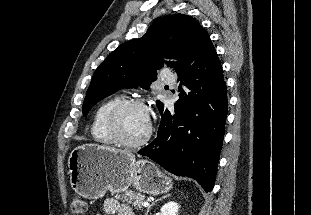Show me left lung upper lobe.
Returning <instances> with one entry per match:
<instances>
[{
	"mask_svg": "<svg viewBox=\"0 0 311 215\" xmlns=\"http://www.w3.org/2000/svg\"><path fill=\"white\" fill-rule=\"evenodd\" d=\"M206 35L191 16L173 14L159 18L143 37L121 44L96 69L83 103V115L121 88H149L156 79V69L163 66L162 57L176 58V62L167 63L176 69ZM156 103L158 108L163 105L158 100Z\"/></svg>",
	"mask_w": 311,
	"mask_h": 215,
	"instance_id": "obj_1",
	"label": "left lung upper lobe"
}]
</instances>
